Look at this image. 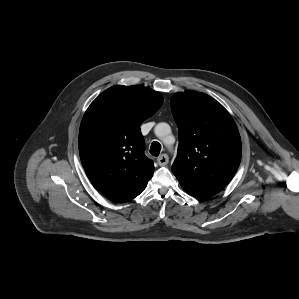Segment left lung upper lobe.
Here are the masks:
<instances>
[{
  "label": "left lung upper lobe",
  "mask_w": 299,
  "mask_h": 299,
  "mask_svg": "<svg viewBox=\"0 0 299 299\" xmlns=\"http://www.w3.org/2000/svg\"><path fill=\"white\" fill-rule=\"evenodd\" d=\"M171 108L179 132L172 172L187 193L208 198L220 192L239 167L238 128L227 110L203 93H176Z\"/></svg>",
  "instance_id": "1"
}]
</instances>
